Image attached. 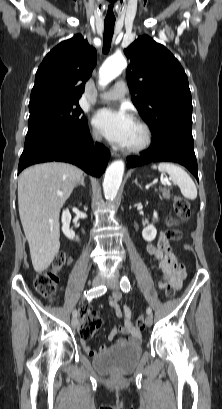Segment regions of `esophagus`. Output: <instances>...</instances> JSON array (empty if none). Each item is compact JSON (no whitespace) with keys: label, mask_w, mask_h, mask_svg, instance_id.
Returning a JSON list of instances; mask_svg holds the SVG:
<instances>
[{"label":"esophagus","mask_w":222,"mask_h":409,"mask_svg":"<svg viewBox=\"0 0 222 409\" xmlns=\"http://www.w3.org/2000/svg\"><path fill=\"white\" fill-rule=\"evenodd\" d=\"M111 155L114 157L118 156V154L115 151H111Z\"/></svg>","instance_id":"34e87169"}]
</instances>
